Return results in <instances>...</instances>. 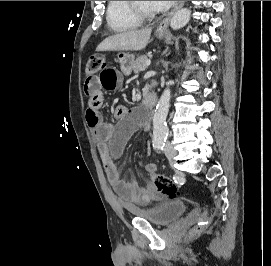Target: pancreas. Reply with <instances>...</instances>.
Returning a JSON list of instances; mask_svg holds the SVG:
<instances>
[{
  "label": "pancreas",
  "instance_id": "pancreas-1",
  "mask_svg": "<svg viewBox=\"0 0 271 266\" xmlns=\"http://www.w3.org/2000/svg\"><path fill=\"white\" fill-rule=\"evenodd\" d=\"M149 60L148 56L146 55H142L140 57H138L133 66H132V70L134 71V73H139L140 71L145 70L146 66H145V62ZM148 87H145V90H147Z\"/></svg>",
  "mask_w": 271,
  "mask_h": 266
}]
</instances>
